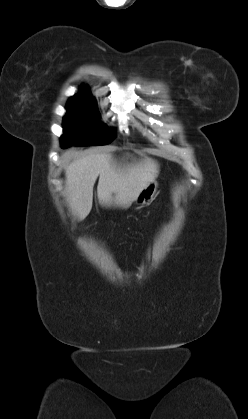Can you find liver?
I'll return each mask as SVG.
<instances>
[{"instance_id": "6515ba94", "label": "liver", "mask_w": 248, "mask_h": 419, "mask_svg": "<svg viewBox=\"0 0 248 419\" xmlns=\"http://www.w3.org/2000/svg\"><path fill=\"white\" fill-rule=\"evenodd\" d=\"M158 173V164L151 159L122 165L109 153H91L66 166L65 194L74 215L83 220L92 209L93 187L98 177L99 202L128 208Z\"/></svg>"}]
</instances>
